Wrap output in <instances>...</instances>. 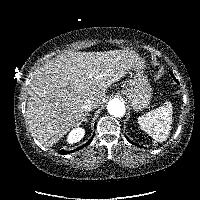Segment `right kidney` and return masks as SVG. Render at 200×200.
<instances>
[{"mask_svg": "<svg viewBox=\"0 0 200 200\" xmlns=\"http://www.w3.org/2000/svg\"><path fill=\"white\" fill-rule=\"evenodd\" d=\"M84 134L85 130L83 128H75L69 133L67 142L69 144L79 142L84 137Z\"/></svg>", "mask_w": 200, "mask_h": 200, "instance_id": "ca27d5eb", "label": "right kidney"}]
</instances>
